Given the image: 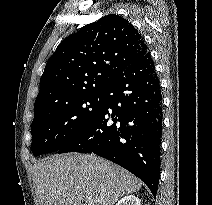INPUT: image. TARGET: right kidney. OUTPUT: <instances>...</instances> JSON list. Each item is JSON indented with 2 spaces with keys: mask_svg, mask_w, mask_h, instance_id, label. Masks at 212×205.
<instances>
[{
  "mask_svg": "<svg viewBox=\"0 0 212 205\" xmlns=\"http://www.w3.org/2000/svg\"><path fill=\"white\" fill-rule=\"evenodd\" d=\"M116 205H141L139 198L134 195H127L121 198Z\"/></svg>",
  "mask_w": 212,
  "mask_h": 205,
  "instance_id": "1",
  "label": "right kidney"
}]
</instances>
